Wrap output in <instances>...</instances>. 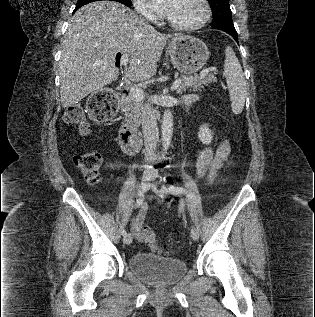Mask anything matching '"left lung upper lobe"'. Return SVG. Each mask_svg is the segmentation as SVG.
<instances>
[{"label":"left lung upper lobe","mask_w":315,"mask_h":317,"mask_svg":"<svg viewBox=\"0 0 315 317\" xmlns=\"http://www.w3.org/2000/svg\"><path fill=\"white\" fill-rule=\"evenodd\" d=\"M212 12V26L215 28H234L232 12L228 0H208Z\"/></svg>","instance_id":"obj_1"}]
</instances>
